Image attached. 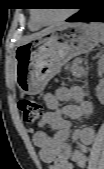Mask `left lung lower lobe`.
Returning a JSON list of instances; mask_svg holds the SVG:
<instances>
[{"instance_id":"0a47b994","label":"left lung lower lobe","mask_w":104,"mask_h":169,"mask_svg":"<svg viewBox=\"0 0 104 169\" xmlns=\"http://www.w3.org/2000/svg\"><path fill=\"white\" fill-rule=\"evenodd\" d=\"M80 9L67 22H104V3L101 0H83Z\"/></svg>"}]
</instances>
